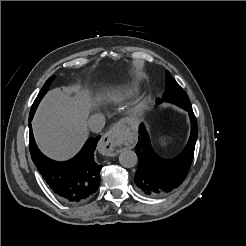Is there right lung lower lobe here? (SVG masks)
I'll use <instances>...</instances> for the list:
<instances>
[{
  "mask_svg": "<svg viewBox=\"0 0 246 246\" xmlns=\"http://www.w3.org/2000/svg\"><path fill=\"white\" fill-rule=\"evenodd\" d=\"M33 116L29 115V148L32 160L52 191L60 200L77 204L89 199L100 184L101 165L94 161V151L100 136L90 138L73 159L56 162L38 149L31 127Z\"/></svg>",
  "mask_w": 246,
  "mask_h": 246,
  "instance_id": "98d812e1",
  "label": "right lung lower lobe"
}]
</instances>
